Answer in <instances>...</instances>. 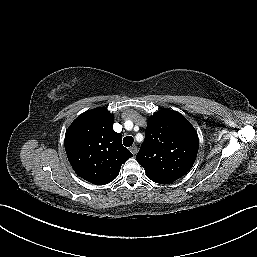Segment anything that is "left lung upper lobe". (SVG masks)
I'll list each match as a JSON object with an SVG mask.
<instances>
[{
  "mask_svg": "<svg viewBox=\"0 0 257 257\" xmlns=\"http://www.w3.org/2000/svg\"><path fill=\"white\" fill-rule=\"evenodd\" d=\"M198 148L197 132L183 115L172 110L159 111L148 121L136 159L150 180L166 184L191 169Z\"/></svg>",
  "mask_w": 257,
  "mask_h": 257,
  "instance_id": "5c2ea615",
  "label": "left lung upper lobe"
}]
</instances>
